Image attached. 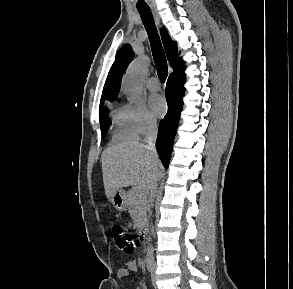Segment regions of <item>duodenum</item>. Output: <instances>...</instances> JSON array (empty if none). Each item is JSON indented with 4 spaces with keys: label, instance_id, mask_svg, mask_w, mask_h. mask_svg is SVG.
Listing matches in <instances>:
<instances>
[{
    "label": "duodenum",
    "instance_id": "duodenum-1",
    "mask_svg": "<svg viewBox=\"0 0 293 289\" xmlns=\"http://www.w3.org/2000/svg\"><path fill=\"white\" fill-rule=\"evenodd\" d=\"M139 236L142 244H145L148 241V230L146 227L141 229Z\"/></svg>",
    "mask_w": 293,
    "mask_h": 289
}]
</instances>
